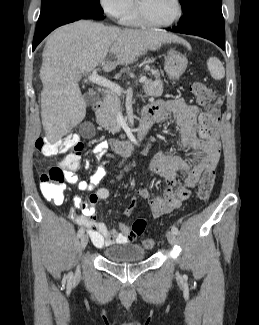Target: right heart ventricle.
Masks as SVG:
<instances>
[{"instance_id":"obj_1","label":"right heart ventricle","mask_w":259,"mask_h":325,"mask_svg":"<svg viewBox=\"0 0 259 325\" xmlns=\"http://www.w3.org/2000/svg\"><path fill=\"white\" fill-rule=\"evenodd\" d=\"M122 22L127 25H138L140 20L134 8L122 17Z\"/></svg>"}]
</instances>
